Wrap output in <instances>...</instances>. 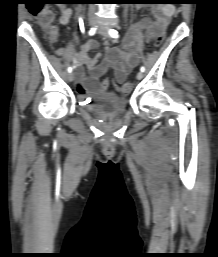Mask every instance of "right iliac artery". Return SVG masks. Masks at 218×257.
<instances>
[{
    "mask_svg": "<svg viewBox=\"0 0 218 257\" xmlns=\"http://www.w3.org/2000/svg\"><path fill=\"white\" fill-rule=\"evenodd\" d=\"M95 33H96V27H92V28L89 30V35H90V36H93ZM68 72H69V73L72 72V67H71V66L68 67Z\"/></svg>",
    "mask_w": 218,
    "mask_h": 257,
    "instance_id": "82829eb1",
    "label": "right iliac artery"
}]
</instances>
